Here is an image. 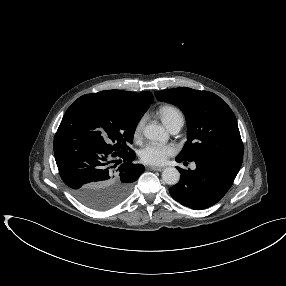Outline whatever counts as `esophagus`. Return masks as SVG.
<instances>
[{"label":"esophagus","mask_w":286,"mask_h":286,"mask_svg":"<svg viewBox=\"0 0 286 286\" xmlns=\"http://www.w3.org/2000/svg\"><path fill=\"white\" fill-rule=\"evenodd\" d=\"M148 169L153 170V171H162V170H164V167L150 166V167H148Z\"/></svg>","instance_id":"obj_1"}]
</instances>
